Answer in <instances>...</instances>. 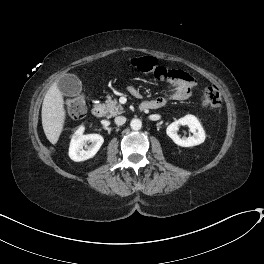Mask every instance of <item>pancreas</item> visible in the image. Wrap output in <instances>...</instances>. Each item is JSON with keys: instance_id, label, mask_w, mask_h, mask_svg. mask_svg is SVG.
<instances>
[{"instance_id": "cf45deb5", "label": "pancreas", "mask_w": 264, "mask_h": 264, "mask_svg": "<svg viewBox=\"0 0 264 264\" xmlns=\"http://www.w3.org/2000/svg\"><path fill=\"white\" fill-rule=\"evenodd\" d=\"M105 111L108 118L114 117L124 112L123 107L118 103V101L116 99L112 100L111 98L106 100Z\"/></svg>"}]
</instances>
